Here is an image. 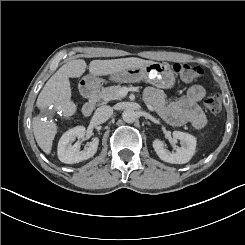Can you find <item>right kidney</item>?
Listing matches in <instances>:
<instances>
[{
  "label": "right kidney",
  "mask_w": 245,
  "mask_h": 245,
  "mask_svg": "<svg viewBox=\"0 0 245 245\" xmlns=\"http://www.w3.org/2000/svg\"><path fill=\"white\" fill-rule=\"evenodd\" d=\"M85 133L84 126H76L62 135L57 149L58 158L61 162L66 164L78 163L89 159L96 153L99 144L98 138H93L91 142H88L82 151H80V141L72 145L76 138L82 139Z\"/></svg>",
  "instance_id": "ca27d5eb"
}]
</instances>
